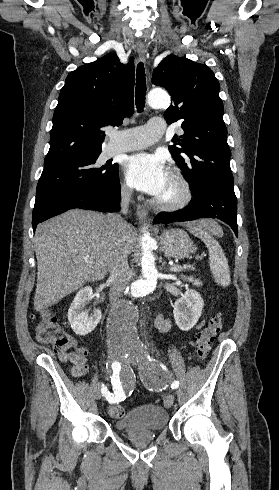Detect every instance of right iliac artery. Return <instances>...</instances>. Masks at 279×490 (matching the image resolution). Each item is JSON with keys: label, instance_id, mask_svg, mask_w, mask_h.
Returning <instances> with one entry per match:
<instances>
[{"label": "right iliac artery", "instance_id": "1", "mask_svg": "<svg viewBox=\"0 0 279 490\" xmlns=\"http://www.w3.org/2000/svg\"><path fill=\"white\" fill-rule=\"evenodd\" d=\"M113 374L111 376V383L113 385V392L110 393L107 390V387L102 385L101 392L105 398L112 403L124 402V395L126 393V380L125 378H119V371L121 369V365L119 362L112 363Z\"/></svg>", "mask_w": 279, "mask_h": 490}]
</instances>
